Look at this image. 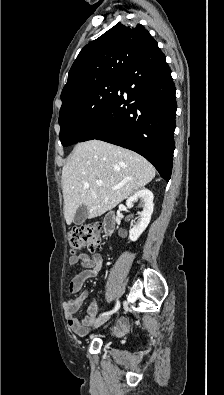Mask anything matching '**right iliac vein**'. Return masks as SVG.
<instances>
[{
  "mask_svg": "<svg viewBox=\"0 0 224 395\" xmlns=\"http://www.w3.org/2000/svg\"><path fill=\"white\" fill-rule=\"evenodd\" d=\"M108 319H109V316H102V317H99L98 319L95 320L93 327H94V328L100 327V326L103 325L105 322H107Z\"/></svg>",
  "mask_w": 224,
  "mask_h": 395,
  "instance_id": "63e3f726",
  "label": "right iliac vein"
}]
</instances>
